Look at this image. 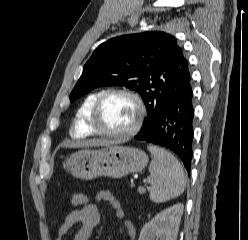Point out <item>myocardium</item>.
<instances>
[{"label":"myocardium","instance_id":"obj_1","mask_svg":"<svg viewBox=\"0 0 248 240\" xmlns=\"http://www.w3.org/2000/svg\"><path fill=\"white\" fill-rule=\"evenodd\" d=\"M113 95H124L129 97L136 105L137 108V117L132 125L131 128H129L126 131L123 132H109L102 130L99 127V114L101 107L103 103L108 99L109 97ZM146 116V106L140 97L138 93H136L133 90L126 89V88H115V89H109L100 94V96L97 98L90 115V125L94 131L95 134L108 137V138H126L131 137L139 132L141 129L144 119Z\"/></svg>","mask_w":248,"mask_h":240}]
</instances>
